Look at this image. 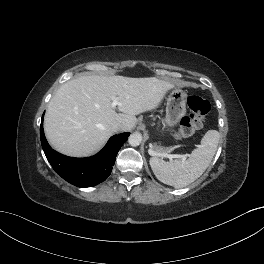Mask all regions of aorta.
Masks as SVG:
<instances>
[{
	"label": "aorta",
	"mask_w": 264,
	"mask_h": 264,
	"mask_svg": "<svg viewBox=\"0 0 264 264\" xmlns=\"http://www.w3.org/2000/svg\"><path fill=\"white\" fill-rule=\"evenodd\" d=\"M142 141V135L139 132H134L129 136L128 142L131 146H139Z\"/></svg>",
	"instance_id": "obj_1"
}]
</instances>
